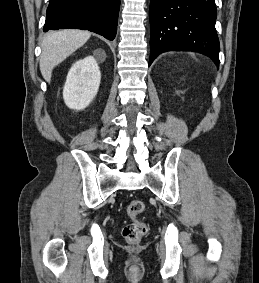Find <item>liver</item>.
<instances>
[{"label": "liver", "mask_w": 259, "mask_h": 283, "mask_svg": "<svg viewBox=\"0 0 259 283\" xmlns=\"http://www.w3.org/2000/svg\"><path fill=\"white\" fill-rule=\"evenodd\" d=\"M91 33L79 29H65L48 33L41 44L40 71L50 83L52 71L90 38Z\"/></svg>", "instance_id": "1"}]
</instances>
